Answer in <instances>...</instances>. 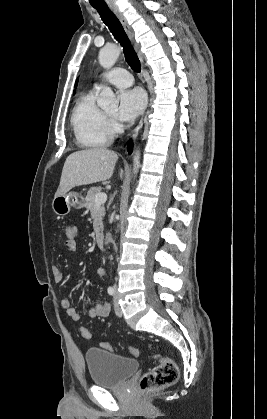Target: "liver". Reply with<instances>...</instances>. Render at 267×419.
<instances>
[{
    "label": "liver",
    "mask_w": 267,
    "mask_h": 419,
    "mask_svg": "<svg viewBox=\"0 0 267 419\" xmlns=\"http://www.w3.org/2000/svg\"><path fill=\"white\" fill-rule=\"evenodd\" d=\"M117 160L118 155L104 147L73 152L66 158L55 196L66 194L75 186L110 179ZM122 174L121 170L120 177Z\"/></svg>",
    "instance_id": "liver-1"
}]
</instances>
